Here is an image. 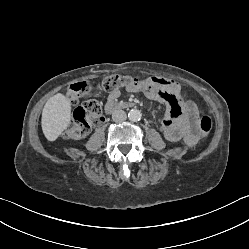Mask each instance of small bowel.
I'll return each instance as SVG.
<instances>
[{
    "mask_svg": "<svg viewBox=\"0 0 249 249\" xmlns=\"http://www.w3.org/2000/svg\"><path fill=\"white\" fill-rule=\"evenodd\" d=\"M137 80L138 83L125 89L133 93L143 92L148 98L167 104L168 115L161 125L165 138L170 142L183 140L188 146H194L200 139L199 110L194 102L184 98L180 84L157 76ZM120 95L119 89L110 91L106 105L115 102Z\"/></svg>",
    "mask_w": 249,
    "mask_h": 249,
    "instance_id": "1",
    "label": "small bowel"
}]
</instances>
